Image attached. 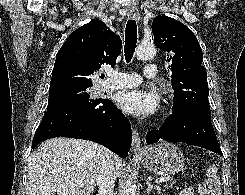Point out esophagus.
<instances>
[{"mask_svg":"<svg viewBox=\"0 0 245 195\" xmlns=\"http://www.w3.org/2000/svg\"><path fill=\"white\" fill-rule=\"evenodd\" d=\"M128 18L131 20H138L139 19V11L135 6H129L127 10ZM132 151L137 153L140 151L141 148V139L140 135L137 130H132Z\"/></svg>","mask_w":245,"mask_h":195,"instance_id":"1","label":"esophagus"}]
</instances>
